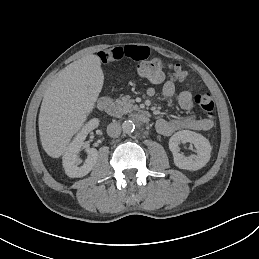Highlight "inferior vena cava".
Instances as JSON below:
<instances>
[{"mask_svg": "<svg viewBox=\"0 0 259 259\" xmlns=\"http://www.w3.org/2000/svg\"><path fill=\"white\" fill-rule=\"evenodd\" d=\"M121 132V126L117 122H112L107 126V134L112 137L116 138L120 135Z\"/></svg>", "mask_w": 259, "mask_h": 259, "instance_id": "obj_1", "label": "inferior vena cava"}]
</instances>
